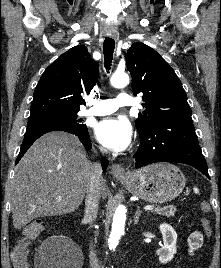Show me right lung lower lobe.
I'll list each match as a JSON object with an SVG mask.
<instances>
[{
    "mask_svg": "<svg viewBox=\"0 0 221 268\" xmlns=\"http://www.w3.org/2000/svg\"><path fill=\"white\" fill-rule=\"evenodd\" d=\"M51 131H65V132L74 134L79 138V140L82 142V144L87 150L91 149V141H90L87 128H73V127H68V126H63V125H53V124L35 125V126H30L26 129V134H25L23 143L21 145L20 153L15 163L17 164L19 162V160L22 158L25 152L29 149V147L35 142V140H37L43 134L51 132ZM107 164H108L107 161H102L103 169L107 167Z\"/></svg>",
    "mask_w": 221,
    "mask_h": 268,
    "instance_id": "1",
    "label": "right lung lower lobe"
}]
</instances>
